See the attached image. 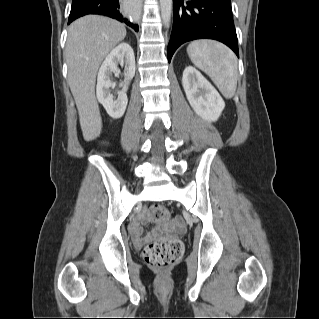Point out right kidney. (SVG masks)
I'll return each mask as SVG.
<instances>
[{
    "label": "right kidney",
    "mask_w": 319,
    "mask_h": 319,
    "mask_svg": "<svg viewBox=\"0 0 319 319\" xmlns=\"http://www.w3.org/2000/svg\"><path fill=\"white\" fill-rule=\"evenodd\" d=\"M118 63H125L124 72L125 80L120 83L122 90L119 91L118 98L115 99L110 92V88L114 85L111 81L112 74L120 72ZM135 75V56L133 49L128 43H121L106 56L102 63L97 78L96 95L98 101L103 105L106 112L114 119L121 118L125 113L128 103L127 89L131 79Z\"/></svg>",
    "instance_id": "obj_1"
}]
</instances>
